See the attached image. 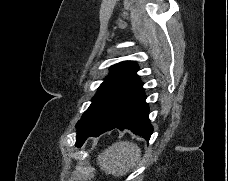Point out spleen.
<instances>
[{
	"label": "spleen",
	"mask_w": 228,
	"mask_h": 181,
	"mask_svg": "<svg viewBox=\"0 0 228 181\" xmlns=\"http://www.w3.org/2000/svg\"><path fill=\"white\" fill-rule=\"evenodd\" d=\"M141 149L135 143L129 141H119L113 143L111 147L105 149L103 153L98 155V165L106 175L113 177H123L134 169L137 161H139Z\"/></svg>",
	"instance_id": "spleen-1"
}]
</instances>
